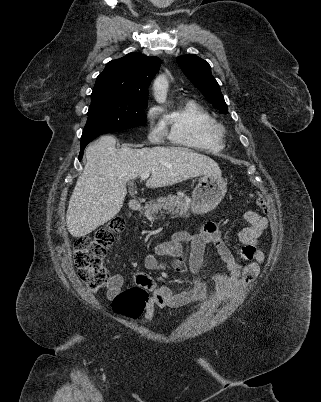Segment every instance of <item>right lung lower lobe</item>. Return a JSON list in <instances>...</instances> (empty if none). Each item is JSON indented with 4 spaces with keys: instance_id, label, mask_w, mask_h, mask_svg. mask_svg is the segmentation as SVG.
Masks as SVG:
<instances>
[{
    "instance_id": "obj_1",
    "label": "right lung lower lobe",
    "mask_w": 321,
    "mask_h": 402,
    "mask_svg": "<svg viewBox=\"0 0 321 402\" xmlns=\"http://www.w3.org/2000/svg\"><path fill=\"white\" fill-rule=\"evenodd\" d=\"M93 139L92 138H83L81 139V149H80V154H79V160L83 157V152L86 147V145L91 142Z\"/></svg>"
}]
</instances>
